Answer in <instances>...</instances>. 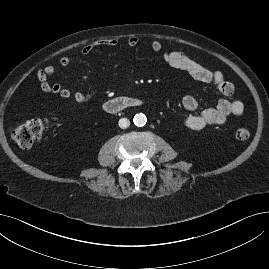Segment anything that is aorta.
I'll return each instance as SVG.
<instances>
[{"label": "aorta", "mask_w": 269, "mask_h": 269, "mask_svg": "<svg viewBox=\"0 0 269 269\" xmlns=\"http://www.w3.org/2000/svg\"><path fill=\"white\" fill-rule=\"evenodd\" d=\"M133 122L136 126L142 127L146 124L147 118L144 114H136L133 118Z\"/></svg>", "instance_id": "aorta-1"}]
</instances>
